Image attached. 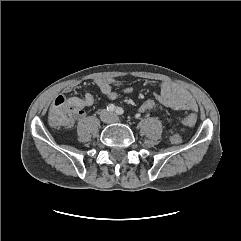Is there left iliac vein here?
Wrapping results in <instances>:
<instances>
[{
    "mask_svg": "<svg viewBox=\"0 0 241 241\" xmlns=\"http://www.w3.org/2000/svg\"><path fill=\"white\" fill-rule=\"evenodd\" d=\"M115 121H116V122H119V121H120V119L116 117V118H115Z\"/></svg>",
    "mask_w": 241,
    "mask_h": 241,
    "instance_id": "left-iliac-vein-1",
    "label": "left iliac vein"
}]
</instances>
